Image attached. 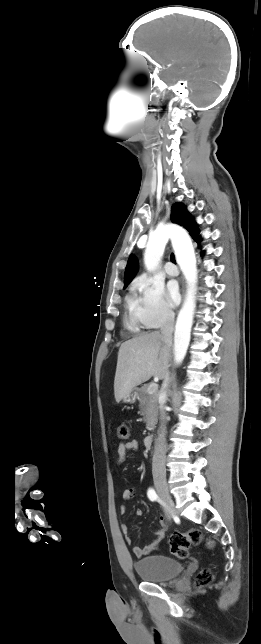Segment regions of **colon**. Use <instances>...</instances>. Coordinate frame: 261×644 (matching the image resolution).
<instances>
[{
    "instance_id": "5ec220e1",
    "label": "colon",
    "mask_w": 261,
    "mask_h": 644,
    "mask_svg": "<svg viewBox=\"0 0 261 644\" xmlns=\"http://www.w3.org/2000/svg\"><path fill=\"white\" fill-rule=\"evenodd\" d=\"M129 427L126 423H121L117 428V436L119 439L127 440L129 438ZM204 541V536L197 529H191L188 532H173L169 538V545L171 552L179 557L186 558L188 550L191 546H196ZM208 547H213V542L207 541ZM212 580V574L209 570L201 571L197 577V584L204 586Z\"/></svg>"
}]
</instances>
